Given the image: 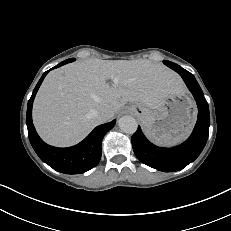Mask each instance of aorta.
Instances as JSON below:
<instances>
[{
    "mask_svg": "<svg viewBox=\"0 0 231 231\" xmlns=\"http://www.w3.org/2000/svg\"><path fill=\"white\" fill-rule=\"evenodd\" d=\"M118 126L122 132L133 134L137 130V121L131 116H123L118 120Z\"/></svg>",
    "mask_w": 231,
    "mask_h": 231,
    "instance_id": "obj_1",
    "label": "aorta"
}]
</instances>
